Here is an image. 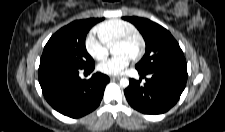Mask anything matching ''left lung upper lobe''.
Wrapping results in <instances>:
<instances>
[{
    "label": "left lung upper lobe",
    "instance_id": "left-lung-upper-lobe-1",
    "mask_svg": "<svg viewBox=\"0 0 225 132\" xmlns=\"http://www.w3.org/2000/svg\"><path fill=\"white\" fill-rule=\"evenodd\" d=\"M123 19L137 27L146 43V53L136 64L137 70L149 72L159 67H187L179 44L168 30L145 18L124 17Z\"/></svg>",
    "mask_w": 225,
    "mask_h": 132
}]
</instances>
